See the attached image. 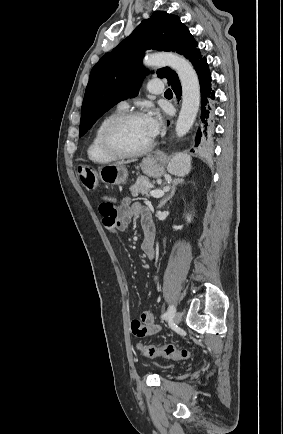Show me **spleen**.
Here are the masks:
<instances>
[{
  "mask_svg": "<svg viewBox=\"0 0 283 434\" xmlns=\"http://www.w3.org/2000/svg\"><path fill=\"white\" fill-rule=\"evenodd\" d=\"M191 158L189 155L181 153L171 159L168 164V171L180 177H184L190 172Z\"/></svg>",
  "mask_w": 283,
  "mask_h": 434,
  "instance_id": "1",
  "label": "spleen"
}]
</instances>
